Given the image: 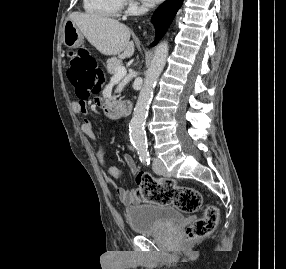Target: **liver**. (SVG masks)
<instances>
[{
  "label": "liver",
  "instance_id": "obj_1",
  "mask_svg": "<svg viewBox=\"0 0 286 269\" xmlns=\"http://www.w3.org/2000/svg\"><path fill=\"white\" fill-rule=\"evenodd\" d=\"M69 19L100 53L121 59L133 55L135 45L130 40V29L119 21L95 13L74 12Z\"/></svg>",
  "mask_w": 286,
  "mask_h": 269
}]
</instances>
